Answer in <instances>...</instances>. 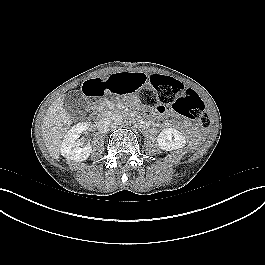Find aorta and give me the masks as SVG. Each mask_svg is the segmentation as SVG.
<instances>
[{"label":"aorta","instance_id":"aorta-1","mask_svg":"<svg viewBox=\"0 0 265 265\" xmlns=\"http://www.w3.org/2000/svg\"><path fill=\"white\" fill-rule=\"evenodd\" d=\"M111 120H112V123H113L115 126L121 125V124H123V122H124L123 115L120 114V113H115V114H113L112 117H111Z\"/></svg>","mask_w":265,"mask_h":265}]
</instances>
